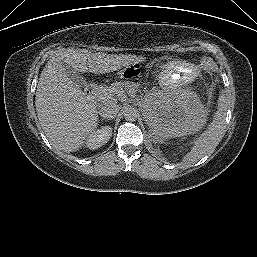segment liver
<instances>
[{
	"mask_svg": "<svg viewBox=\"0 0 257 257\" xmlns=\"http://www.w3.org/2000/svg\"><path fill=\"white\" fill-rule=\"evenodd\" d=\"M141 61V57L90 53L64 49L50 56L36 90V112L51 144L66 153L81 148L98 125L95 105L66 74L64 65L95 74L117 71Z\"/></svg>",
	"mask_w": 257,
	"mask_h": 257,
	"instance_id": "liver-1",
	"label": "liver"
}]
</instances>
